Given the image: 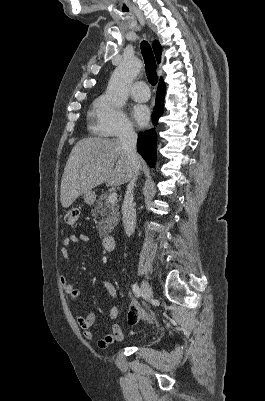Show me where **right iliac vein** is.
<instances>
[{"instance_id": "63e3f726", "label": "right iliac vein", "mask_w": 265, "mask_h": 401, "mask_svg": "<svg viewBox=\"0 0 265 401\" xmlns=\"http://www.w3.org/2000/svg\"><path fill=\"white\" fill-rule=\"evenodd\" d=\"M142 291H143L144 298H145L146 300H150V299H151V296H152V287H151V285H150L147 281H145V280L142 281Z\"/></svg>"}]
</instances>
